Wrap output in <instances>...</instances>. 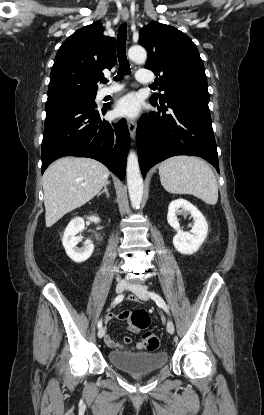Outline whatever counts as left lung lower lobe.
Instances as JSON below:
<instances>
[{
  "mask_svg": "<svg viewBox=\"0 0 264 415\" xmlns=\"http://www.w3.org/2000/svg\"><path fill=\"white\" fill-rule=\"evenodd\" d=\"M209 96L181 94L164 103H153L158 112L143 115L137 127V150L141 173L176 155L199 156L219 173ZM166 104V105H165Z\"/></svg>",
  "mask_w": 264,
  "mask_h": 415,
  "instance_id": "left-lung-lower-lobe-1",
  "label": "left lung lower lobe"
}]
</instances>
